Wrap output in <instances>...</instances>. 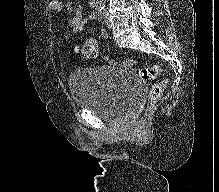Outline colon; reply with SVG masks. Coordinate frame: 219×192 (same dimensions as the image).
<instances>
[{
	"label": "colon",
	"mask_w": 219,
	"mask_h": 192,
	"mask_svg": "<svg viewBox=\"0 0 219 192\" xmlns=\"http://www.w3.org/2000/svg\"><path fill=\"white\" fill-rule=\"evenodd\" d=\"M76 51L87 59H94L99 57L100 50L98 43L95 39H88L82 45L76 46ZM109 62L113 63L112 60L106 58ZM131 61L127 60L122 63L123 66H129ZM162 71V68L158 65L152 67H144L139 69V77L144 81H151ZM168 86V80L163 79L154 84L150 90L148 108L152 109L159 99L162 97L164 91Z\"/></svg>",
	"instance_id": "colon-1"
}]
</instances>
